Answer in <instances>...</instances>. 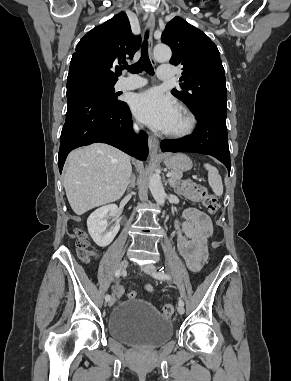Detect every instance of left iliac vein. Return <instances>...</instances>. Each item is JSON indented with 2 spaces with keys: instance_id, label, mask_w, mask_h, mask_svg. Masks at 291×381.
<instances>
[{
  "instance_id": "left-iliac-vein-1",
  "label": "left iliac vein",
  "mask_w": 291,
  "mask_h": 381,
  "mask_svg": "<svg viewBox=\"0 0 291 381\" xmlns=\"http://www.w3.org/2000/svg\"><path fill=\"white\" fill-rule=\"evenodd\" d=\"M142 270L145 273L150 274V275H152L153 273H156V271H157L156 267L153 264L146 265L145 267L142 268ZM177 311L179 314H184V311H185L184 306L179 304L177 307Z\"/></svg>"
}]
</instances>
